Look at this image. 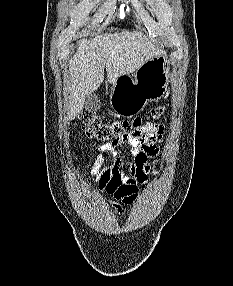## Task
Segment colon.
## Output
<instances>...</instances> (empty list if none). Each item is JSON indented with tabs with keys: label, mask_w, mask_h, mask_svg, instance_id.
<instances>
[{
	"label": "colon",
	"mask_w": 233,
	"mask_h": 286,
	"mask_svg": "<svg viewBox=\"0 0 233 286\" xmlns=\"http://www.w3.org/2000/svg\"><path fill=\"white\" fill-rule=\"evenodd\" d=\"M165 107L158 106L150 111V117L162 116ZM80 120L87 135L102 142H114L125 137L135 136L146 125L141 117L131 121H108L96 112L85 109L80 113Z\"/></svg>",
	"instance_id": "5ec220e1"
}]
</instances>
